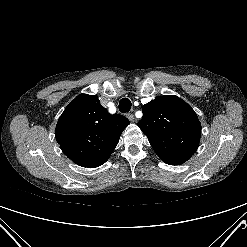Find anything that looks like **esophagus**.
Instances as JSON below:
<instances>
[{"label":"esophagus","mask_w":247,"mask_h":247,"mask_svg":"<svg viewBox=\"0 0 247 247\" xmlns=\"http://www.w3.org/2000/svg\"><path fill=\"white\" fill-rule=\"evenodd\" d=\"M127 118L131 121V122H134L135 121V117L132 113H128L127 114Z\"/></svg>","instance_id":"obj_1"}]
</instances>
